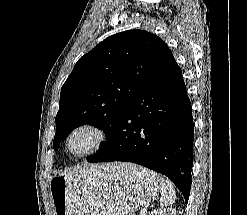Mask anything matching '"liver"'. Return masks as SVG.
I'll list each match as a JSON object with an SVG mask.
<instances>
[{"mask_svg":"<svg viewBox=\"0 0 247 215\" xmlns=\"http://www.w3.org/2000/svg\"><path fill=\"white\" fill-rule=\"evenodd\" d=\"M89 166H92V165H84L82 168H74L72 172L67 173V174H64V175H72V174H75L76 172L82 171V170L88 168Z\"/></svg>","mask_w":247,"mask_h":215,"instance_id":"6515ba94","label":"liver"}]
</instances>
